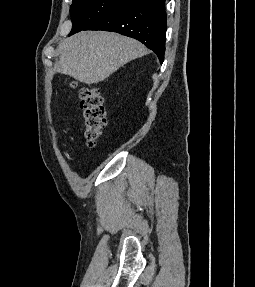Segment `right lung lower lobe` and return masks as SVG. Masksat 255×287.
Returning a JSON list of instances; mask_svg holds the SVG:
<instances>
[{
    "mask_svg": "<svg viewBox=\"0 0 255 287\" xmlns=\"http://www.w3.org/2000/svg\"><path fill=\"white\" fill-rule=\"evenodd\" d=\"M165 0H130L84 30H105L135 38L164 60L166 40Z\"/></svg>",
    "mask_w": 255,
    "mask_h": 287,
    "instance_id": "1",
    "label": "right lung lower lobe"
}]
</instances>
